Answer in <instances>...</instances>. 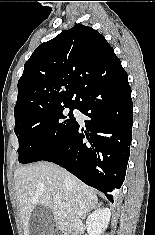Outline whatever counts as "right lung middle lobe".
Masks as SVG:
<instances>
[{
	"mask_svg": "<svg viewBox=\"0 0 155 235\" xmlns=\"http://www.w3.org/2000/svg\"><path fill=\"white\" fill-rule=\"evenodd\" d=\"M70 108L68 114L65 109ZM76 104L32 110L15 118V134L19 140V162L43 160L58 150L77 125L73 117Z\"/></svg>",
	"mask_w": 155,
	"mask_h": 235,
	"instance_id": "1",
	"label": "right lung middle lobe"
}]
</instances>
